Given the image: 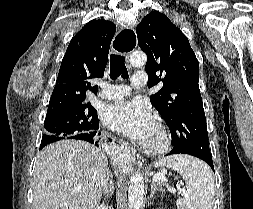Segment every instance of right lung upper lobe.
Segmentation results:
<instances>
[{"label":"right lung upper lobe","mask_w":253,"mask_h":209,"mask_svg":"<svg viewBox=\"0 0 253 209\" xmlns=\"http://www.w3.org/2000/svg\"><path fill=\"white\" fill-rule=\"evenodd\" d=\"M116 32V25L106 20L88 22L71 40L63 57L47 114L61 108L88 106L86 91L97 93L90 79L102 77Z\"/></svg>","instance_id":"1"}]
</instances>
